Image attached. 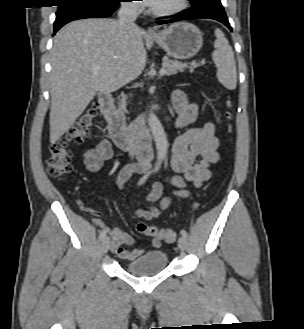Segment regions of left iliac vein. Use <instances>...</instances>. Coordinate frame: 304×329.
<instances>
[{"instance_id": "1", "label": "left iliac vein", "mask_w": 304, "mask_h": 329, "mask_svg": "<svg viewBox=\"0 0 304 329\" xmlns=\"http://www.w3.org/2000/svg\"><path fill=\"white\" fill-rule=\"evenodd\" d=\"M178 247L180 250L184 251L187 247V240L185 237L181 236L178 240Z\"/></svg>"}]
</instances>
